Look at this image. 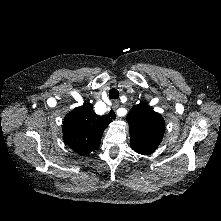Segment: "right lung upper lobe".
<instances>
[{
  "mask_svg": "<svg viewBox=\"0 0 221 221\" xmlns=\"http://www.w3.org/2000/svg\"><path fill=\"white\" fill-rule=\"evenodd\" d=\"M111 121L106 115L95 114L90 103L76 107L65 116L64 143L76 153L88 155L100 146L103 131Z\"/></svg>",
  "mask_w": 221,
  "mask_h": 221,
  "instance_id": "1",
  "label": "right lung upper lobe"
}]
</instances>
